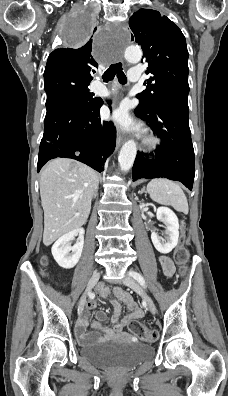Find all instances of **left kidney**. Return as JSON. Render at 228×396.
<instances>
[{"instance_id":"left-kidney-1","label":"left kidney","mask_w":228,"mask_h":396,"mask_svg":"<svg viewBox=\"0 0 228 396\" xmlns=\"http://www.w3.org/2000/svg\"><path fill=\"white\" fill-rule=\"evenodd\" d=\"M157 219L163 222L166 226L165 233L167 239H161L157 233L152 232L151 240L157 251L167 254L173 250L178 244L179 237V222L176 214L168 207H159L157 209Z\"/></svg>"}]
</instances>
